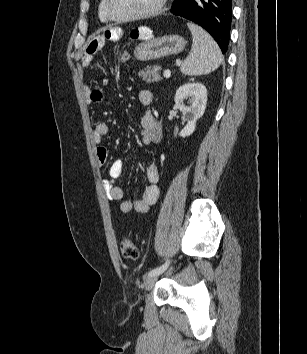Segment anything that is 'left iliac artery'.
Returning a JSON list of instances; mask_svg holds the SVG:
<instances>
[{
	"label": "left iliac artery",
	"instance_id": "1",
	"mask_svg": "<svg viewBox=\"0 0 307 354\" xmlns=\"http://www.w3.org/2000/svg\"><path fill=\"white\" fill-rule=\"evenodd\" d=\"M169 263L170 261L167 260L163 265L157 267V268H154L152 269L149 273H148V276H152V275H160L161 273H163L169 266Z\"/></svg>",
	"mask_w": 307,
	"mask_h": 354
}]
</instances>
